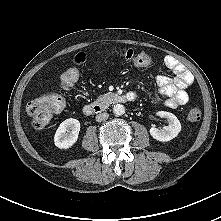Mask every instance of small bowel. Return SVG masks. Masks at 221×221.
Here are the masks:
<instances>
[{"label": "small bowel", "mask_w": 221, "mask_h": 221, "mask_svg": "<svg viewBox=\"0 0 221 221\" xmlns=\"http://www.w3.org/2000/svg\"><path fill=\"white\" fill-rule=\"evenodd\" d=\"M164 63L174 76L160 75L157 77L159 95L155 99L159 101L163 98L164 104L170 108L186 104L189 100L186 89L193 82L192 74L172 56L165 57Z\"/></svg>", "instance_id": "1"}]
</instances>
